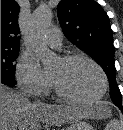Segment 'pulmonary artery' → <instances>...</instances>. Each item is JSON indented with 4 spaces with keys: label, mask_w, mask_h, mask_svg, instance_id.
<instances>
[{
    "label": "pulmonary artery",
    "mask_w": 123,
    "mask_h": 130,
    "mask_svg": "<svg viewBox=\"0 0 123 130\" xmlns=\"http://www.w3.org/2000/svg\"><path fill=\"white\" fill-rule=\"evenodd\" d=\"M47 43L54 48H60L62 45V33L57 28H51L46 35Z\"/></svg>",
    "instance_id": "pulmonary-artery-1"
}]
</instances>
